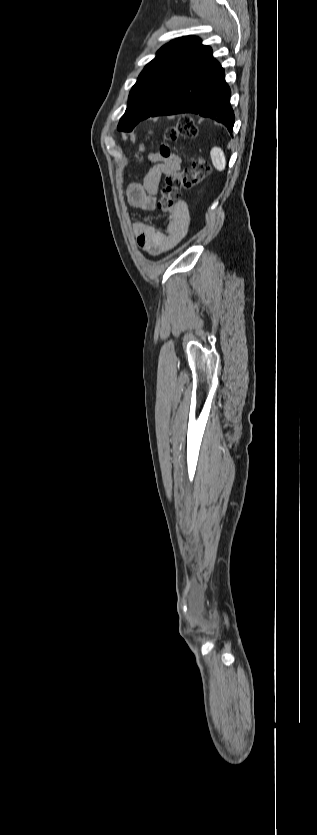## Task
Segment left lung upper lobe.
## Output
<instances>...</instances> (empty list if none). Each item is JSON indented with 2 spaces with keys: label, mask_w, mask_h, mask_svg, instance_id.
<instances>
[{
  "label": "left lung upper lobe",
  "mask_w": 317,
  "mask_h": 835,
  "mask_svg": "<svg viewBox=\"0 0 317 835\" xmlns=\"http://www.w3.org/2000/svg\"><path fill=\"white\" fill-rule=\"evenodd\" d=\"M207 48L197 37L186 36L164 45L132 87L118 130L130 132L167 99L189 65Z\"/></svg>",
  "instance_id": "left-lung-upper-lobe-1"
}]
</instances>
